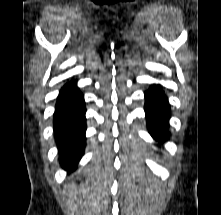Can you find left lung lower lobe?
Here are the masks:
<instances>
[{
	"label": "left lung lower lobe",
	"instance_id": "left-lung-lower-lobe-1",
	"mask_svg": "<svg viewBox=\"0 0 221 215\" xmlns=\"http://www.w3.org/2000/svg\"><path fill=\"white\" fill-rule=\"evenodd\" d=\"M144 109L150 135L163 143L169 138L167 127L171 110L160 85H153L145 92Z\"/></svg>",
	"mask_w": 221,
	"mask_h": 215
}]
</instances>
